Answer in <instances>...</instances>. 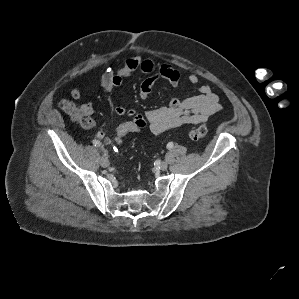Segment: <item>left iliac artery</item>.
<instances>
[{
  "instance_id": "obj_1",
  "label": "left iliac artery",
  "mask_w": 299,
  "mask_h": 299,
  "mask_svg": "<svg viewBox=\"0 0 299 299\" xmlns=\"http://www.w3.org/2000/svg\"><path fill=\"white\" fill-rule=\"evenodd\" d=\"M173 146H174L173 142H169V143L167 144V148H168V149L173 148Z\"/></svg>"
}]
</instances>
